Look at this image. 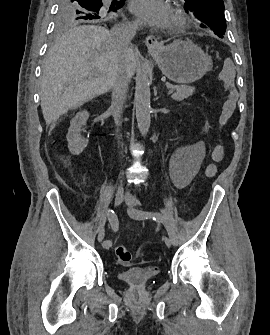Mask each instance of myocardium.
<instances>
[{
	"mask_svg": "<svg viewBox=\"0 0 270 335\" xmlns=\"http://www.w3.org/2000/svg\"><path fill=\"white\" fill-rule=\"evenodd\" d=\"M177 21H178V25L179 26H182L185 23V20H184V18L181 15L177 16Z\"/></svg>",
	"mask_w": 270,
	"mask_h": 335,
	"instance_id": "f54148a6",
	"label": "myocardium"
}]
</instances>
